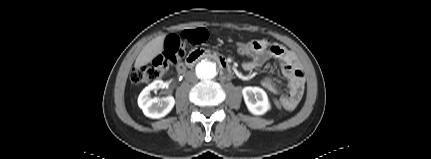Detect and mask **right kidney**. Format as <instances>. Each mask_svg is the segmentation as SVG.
Returning <instances> with one entry per match:
<instances>
[{
    "mask_svg": "<svg viewBox=\"0 0 431 159\" xmlns=\"http://www.w3.org/2000/svg\"><path fill=\"white\" fill-rule=\"evenodd\" d=\"M164 87L162 80H156L143 89L138 97V105L142 109L145 116L153 119H158L166 116L174 107L175 99L173 96L160 99L157 97L151 98L152 91L157 92Z\"/></svg>",
    "mask_w": 431,
    "mask_h": 159,
    "instance_id": "right-kidney-1",
    "label": "right kidney"
}]
</instances>
